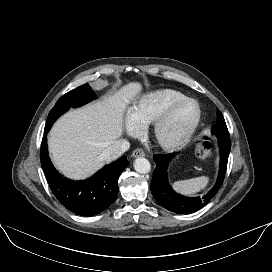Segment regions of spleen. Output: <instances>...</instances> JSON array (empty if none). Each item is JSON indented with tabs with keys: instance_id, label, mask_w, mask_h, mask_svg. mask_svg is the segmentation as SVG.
I'll return each mask as SVG.
<instances>
[{
	"instance_id": "1",
	"label": "spleen",
	"mask_w": 272,
	"mask_h": 272,
	"mask_svg": "<svg viewBox=\"0 0 272 272\" xmlns=\"http://www.w3.org/2000/svg\"><path fill=\"white\" fill-rule=\"evenodd\" d=\"M209 182L206 176H200L192 179L176 181L173 183V188L184 195H191L204 189Z\"/></svg>"
}]
</instances>
